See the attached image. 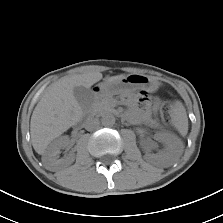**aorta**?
Wrapping results in <instances>:
<instances>
[{"instance_id": "obj_1", "label": "aorta", "mask_w": 223, "mask_h": 223, "mask_svg": "<svg viewBox=\"0 0 223 223\" xmlns=\"http://www.w3.org/2000/svg\"><path fill=\"white\" fill-rule=\"evenodd\" d=\"M115 116L113 114H105L102 116L101 122L104 126L111 127L115 124Z\"/></svg>"}]
</instances>
